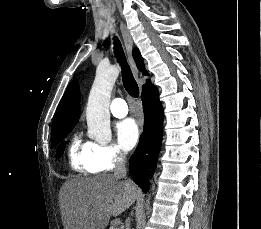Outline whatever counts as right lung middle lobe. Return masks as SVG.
Instances as JSON below:
<instances>
[{
    "mask_svg": "<svg viewBox=\"0 0 261 229\" xmlns=\"http://www.w3.org/2000/svg\"><path fill=\"white\" fill-rule=\"evenodd\" d=\"M75 125L76 124H62L52 127V140L55 142V144L51 147H54L60 143L71 132ZM65 145L66 142L60 144L56 153V158H59L62 155L65 149Z\"/></svg>",
    "mask_w": 261,
    "mask_h": 229,
    "instance_id": "obj_1",
    "label": "right lung middle lobe"
}]
</instances>
